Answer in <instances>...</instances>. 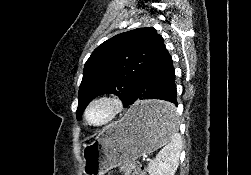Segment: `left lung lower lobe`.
Masks as SVG:
<instances>
[{
    "label": "left lung lower lobe",
    "mask_w": 251,
    "mask_h": 175,
    "mask_svg": "<svg viewBox=\"0 0 251 175\" xmlns=\"http://www.w3.org/2000/svg\"><path fill=\"white\" fill-rule=\"evenodd\" d=\"M176 96L175 71L166 49L160 59L140 78L124 106L128 107L139 99H160L177 107ZM172 104L142 106L134 111V116L147 122H169L176 115Z\"/></svg>",
    "instance_id": "obj_1"
}]
</instances>
